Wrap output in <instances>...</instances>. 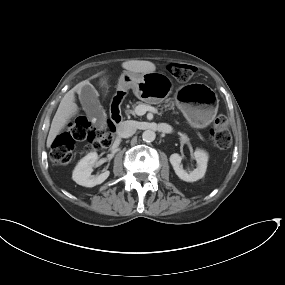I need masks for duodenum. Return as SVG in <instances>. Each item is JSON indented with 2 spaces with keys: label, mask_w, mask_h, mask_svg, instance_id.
Instances as JSON below:
<instances>
[{
  "label": "duodenum",
  "mask_w": 285,
  "mask_h": 285,
  "mask_svg": "<svg viewBox=\"0 0 285 285\" xmlns=\"http://www.w3.org/2000/svg\"><path fill=\"white\" fill-rule=\"evenodd\" d=\"M122 101H123V95L120 93L116 94L110 108L111 119L117 125L120 124L122 121V112H121Z\"/></svg>",
  "instance_id": "obj_1"
}]
</instances>
